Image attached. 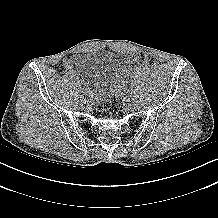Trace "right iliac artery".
Returning a JSON list of instances; mask_svg holds the SVG:
<instances>
[{
  "instance_id": "82829eb1",
  "label": "right iliac artery",
  "mask_w": 218,
  "mask_h": 218,
  "mask_svg": "<svg viewBox=\"0 0 218 218\" xmlns=\"http://www.w3.org/2000/svg\"><path fill=\"white\" fill-rule=\"evenodd\" d=\"M81 90H86V92H87V87H82V89Z\"/></svg>"
}]
</instances>
